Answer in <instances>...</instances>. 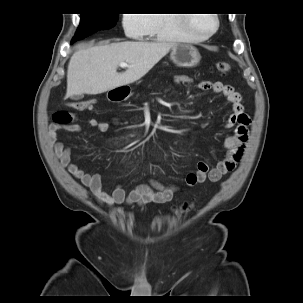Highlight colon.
Instances as JSON below:
<instances>
[{
	"label": "colon",
	"mask_w": 303,
	"mask_h": 303,
	"mask_svg": "<svg viewBox=\"0 0 303 303\" xmlns=\"http://www.w3.org/2000/svg\"><path fill=\"white\" fill-rule=\"evenodd\" d=\"M217 70L221 74H227L230 70V65L226 61H219L217 63ZM95 103V100H87V101H82V102H71L70 106L79 110H85V109H90L93 104ZM74 120L73 115L68 112V111H59L54 114L53 116V122L57 124H69ZM191 204H184L181 207V210H188L191 208Z\"/></svg>",
	"instance_id": "obj_1"
}]
</instances>
